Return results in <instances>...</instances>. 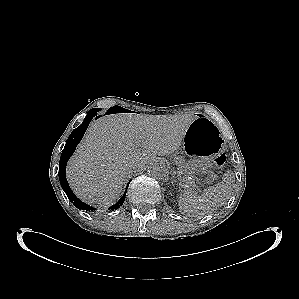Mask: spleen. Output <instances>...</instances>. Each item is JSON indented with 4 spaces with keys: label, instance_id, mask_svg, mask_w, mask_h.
I'll use <instances>...</instances> for the list:
<instances>
[{
    "label": "spleen",
    "instance_id": "spleen-1",
    "mask_svg": "<svg viewBox=\"0 0 299 299\" xmlns=\"http://www.w3.org/2000/svg\"><path fill=\"white\" fill-rule=\"evenodd\" d=\"M234 182V174L228 172L223 182L205 189L202 194L185 190L178 199L180 212L187 217L203 218L217 210L229 199Z\"/></svg>",
    "mask_w": 299,
    "mask_h": 299
}]
</instances>
